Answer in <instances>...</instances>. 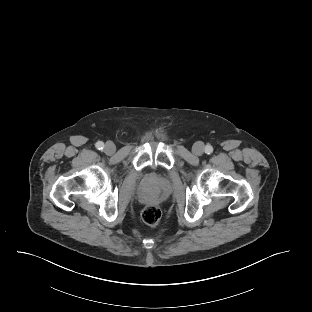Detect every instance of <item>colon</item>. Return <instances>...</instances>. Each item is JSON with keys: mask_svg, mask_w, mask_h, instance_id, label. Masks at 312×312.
Returning <instances> with one entry per match:
<instances>
[{"mask_svg": "<svg viewBox=\"0 0 312 312\" xmlns=\"http://www.w3.org/2000/svg\"><path fill=\"white\" fill-rule=\"evenodd\" d=\"M161 218L162 212L158 206L148 205L142 211L143 221L151 227L159 225Z\"/></svg>", "mask_w": 312, "mask_h": 312, "instance_id": "colon-1", "label": "colon"}]
</instances>
